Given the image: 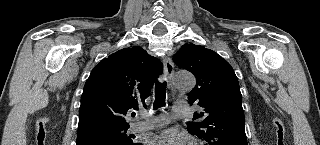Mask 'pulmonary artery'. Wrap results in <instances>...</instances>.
Listing matches in <instances>:
<instances>
[{"label":"pulmonary artery","mask_w":320,"mask_h":145,"mask_svg":"<svg viewBox=\"0 0 320 145\" xmlns=\"http://www.w3.org/2000/svg\"><path fill=\"white\" fill-rule=\"evenodd\" d=\"M188 113H189V107L186 102L176 101L174 103L172 117L182 118L187 116ZM141 118H143L144 120L133 123L130 127V131L143 132V131L155 129V128L167 125L171 120V117L167 114H161L158 116L141 114Z\"/></svg>","instance_id":"1"}]
</instances>
